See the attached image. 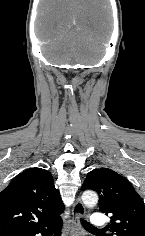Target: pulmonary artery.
Wrapping results in <instances>:
<instances>
[{
  "label": "pulmonary artery",
  "instance_id": "e3ab8cb5",
  "mask_svg": "<svg viewBox=\"0 0 145 236\" xmlns=\"http://www.w3.org/2000/svg\"><path fill=\"white\" fill-rule=\"evenodd\" d=\"M90 223L94 227H102L107 223V218L101 213H96L91 216Z\"/></svg>",
  "mask_w": 145,
  "mask_h": 236
}]
</instances>
